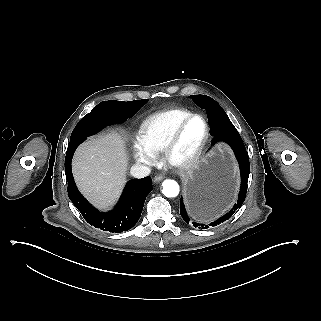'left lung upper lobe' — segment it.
<instances>
[{
	"label": "left lung upper lobe",
	"mask_w": 321,
	"mask_h": 321,
	"mask_svg": "<svg viewBox=\"0 0 321 321\" xmlns=\"http://www.w3.org/2000/svg\"><path fill=\"white\" fill-rule=\"evenodd\" d=\"M190 98L202 109L206 111L209 109H217L225 113L221 106L211 97L206 95H191ZM227 115V114H226ZM228 117V116H227ZM229 119V118H228ZM229 125H233L231 121L228 122Z\"/></svg>",
	"instance_id": "obj_1"
}]
</instances>
